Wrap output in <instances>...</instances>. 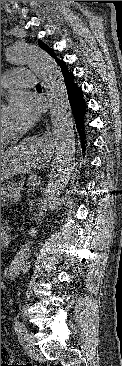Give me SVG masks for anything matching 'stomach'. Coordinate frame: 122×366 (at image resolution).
Masks as SVG:
<instances>
[{
	"label": "stomach",
	"instance_id": "stomach-1",
	"mask_svg": "<svg viewBox=\"0 0 122 366\" xmlns=\"http://www.w3.org/2000/svg\"><path fill=\"white\" fill-rule=\"evenodd\" d=\"M27 146L32 149L36 148V145L33 142H30ZM26 150V148H22L16 153L10 151L5 159H1V182L19 171L21 161L23 160L22 156Z\"/></svg>",
	"mask_w": 122,
	"mask_h": 366
}]
</instances>
